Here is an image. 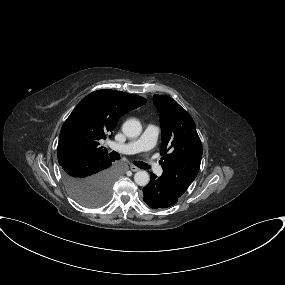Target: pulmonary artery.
Segmentation results:
<instances>
[{
    "instance_id": "1",
    "label": "pulmonary artery",
    "mask_w": 285,
    "mask_h": 285,
    "mask_svg": "<svg viewBox=\"0 0 285 285\" xmlns=\"http://www.w3.org/2000/svg\"><path fill=\"white\" fill-rule=\"evenodd\" d=\"M159 133V127L150 123L145 127V130L140 138L122 144L113 143L111 144V147L123 154L148 152L154 147ZM144 163L147 164L148 167L151 168L155 173H162V167L157 164L152 157H145Z\"/></svg>"
}]
</instances>
